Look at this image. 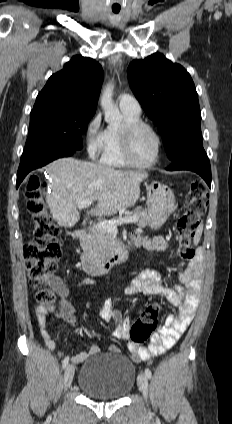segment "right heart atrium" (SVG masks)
<instances>
[{"label":"right heart atrium","instance_id":"d8ad5b80","mask_svg":"<svg viewBox=\"0 0 232 424\" xmlns=\"http://www.w3.org/2000/svg\"><path fill=\"white\" fill-rule=\"evenodd\" d=\"M101 116L96 113L87 122L84 129V141L90 158H97L104 148V131L100 128Z\"/></svg>","mask_w":232,"mask_h":424}]
</instances>
